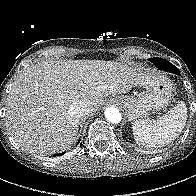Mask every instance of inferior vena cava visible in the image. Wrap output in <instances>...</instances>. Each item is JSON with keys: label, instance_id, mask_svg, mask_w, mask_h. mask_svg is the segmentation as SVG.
Instances as JSON below:
<instances>
[{"label": "inferior vena cava", "instance_id": "inferior-vena-cava-1", "mask_svg": "<svg viewBox=\"0 0 196 196\" xmlns=\"http://www.w3.org/2000/svg\"><path fill=\"white\" fill-rule=\"evenodd\" d=\"M87 105L82 102H74L69 106L68 113L71 117L81 118L87 112Z\"/></svg>", "mask_w": 196, "mask_h": 196}]
</instances>
